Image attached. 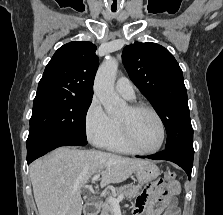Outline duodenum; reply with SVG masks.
<instances>
[{
  "instance_id": "410a0bca",
  "label": "duodenum",
  "mask_w": 223,
  "mask_h": 215,
  "mask_svg": "<svg viewBox=\"0 0 223 215\" xmlns=\"http://www.w3.org/2000/svg\"><path fill=\"white\" fill-rule=\"evenodd\" d=\"M84 215H98V206L96 201L87 200L84 204Z\"/></svg>"
}]
</instances>
